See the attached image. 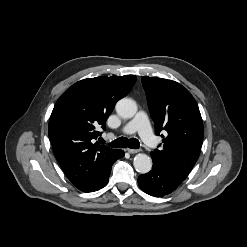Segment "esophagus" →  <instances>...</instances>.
Listing matches in <instances>:
<instances>
[{
    "label": "esophagus",
    "instance_id": "obj_1",
    "mask_svg": "<svg viewBox=\"0 0 247 247\" xmlns=\"http://www.w3.org/2000/svg\"><path fill=\"white\" fill-rule=\"evenodd\" d=\"M139 151H140L139 149H130V148L127 149V152H129L130 154H136Z\"/></svg>",
    "mask_w": 247,
    "mask_h": 247
}]
</instances>
